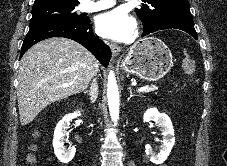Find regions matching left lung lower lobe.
Listing matches in <instances>:
<instances>
[{
	"label": "left lung lower lobe",
	"instance_id": "0a47b994",
	"mask_svg": "<svg viewBox=\"0 0 227 166\" xmlns=\"http://www.w3.org/2000/svg\"><path fill=\"white\" fill-rule=\"evenodd\" d=\"M165 29H179L190 34L196 40L198 39L197 32L195 31V28H194L192 15H187V14H182L172 18H168L163 22H161L158 26L150 30L144 29L142 37L150 33H153L159 30H165Z\"/></svg>",
	"mask_w": 227,
	"mask_h": 166
}]
</instances>
